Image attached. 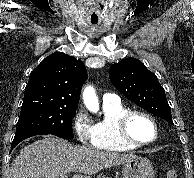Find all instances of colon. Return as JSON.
<instances>
[{"mask_svg":"<svg viewBox=\"0 0 194 178\" xmlns=\"http://www.w3.org/2000/svg\"><path fill=\"white\" fill-rule=\"evenodd\" d=\"M166 178H178V174H177L176 170H174V169L167 170Z\"/></svg>","mask_w":194,"mask_h":178,"instance_id":"5ec220e1","label":"colon"}]
</instances>
